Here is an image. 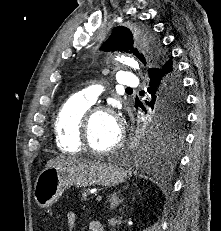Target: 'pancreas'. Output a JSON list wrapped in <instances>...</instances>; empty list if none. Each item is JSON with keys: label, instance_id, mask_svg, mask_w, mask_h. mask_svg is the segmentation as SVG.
Masks as SVG:
<instances>
[{"label": "pancreas", "instance_id": "pancreas-1", "mask_svg": "<svg viewBox=\"0 0 221 231\" xmlns=\"http://www.w3.org/2000/svg\"><path fill=\"white\" fill-rule=\"evenodd\" d=\"M89 195H90L89 190H84V191L81 193L80 199H81L82 201H86V200H88L87 198H88Z\"/></svg>", "mask_w": 221, "mask_h": 231}]
</instances>
